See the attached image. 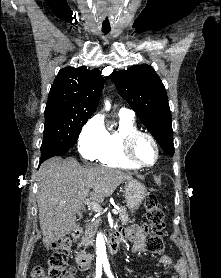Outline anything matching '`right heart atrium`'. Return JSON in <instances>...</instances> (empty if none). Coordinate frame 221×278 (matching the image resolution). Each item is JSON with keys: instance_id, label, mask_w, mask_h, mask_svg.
<instances>
[{"instance_id": "obj_1", "label": "right heart atrium", "mask_w": 221, "mask_h": 278, "mask_svg": "<svg viewBox=\"0 0 221 278\" xmlns=\"http://www.w3.org/2000/svg\"><path fill=\"white\" fill-rule=\"evenodd\" d=\"M105 135L102 118L96 115L89 119L82 127L78 138V150L82 158L88 161L95 160L102 148Z\"/></svg>"}]
</instances>
